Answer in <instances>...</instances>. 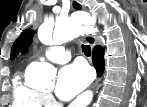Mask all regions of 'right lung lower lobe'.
I'll return each mask as SVG.
<instances>
[{"label": "right lung lower lobe", "instance_id": "1", "mask_svg": "<svg viewBox=\"0 0 147 107\" xmlns=\"http://www.w3.org/2000/svg\"><path fill=\"white\" fill-rule=\"evenodd\" d=\"M92 59L98 76H101L104 70V51L101 46L94 48Z\"/></svg>", "mask_w": 147, "mask_h": 107}]
</instances>
